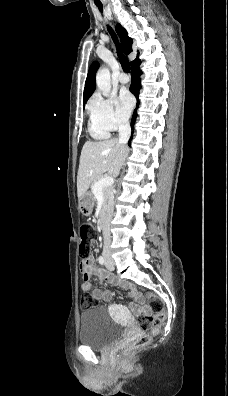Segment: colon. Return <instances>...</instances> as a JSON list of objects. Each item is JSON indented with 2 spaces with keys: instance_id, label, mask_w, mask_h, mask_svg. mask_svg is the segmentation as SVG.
<instances>
[{
  "instance_id": "obj_1",
  "label": "colon",
  "mask_w": 228,
  "mask_h": 396,
  "mask_svg": "<svg viewBox=\"0 0 228 396\" xmlns=\"http://www.w3.org/2000/svg\"><path fill=\"white\" fill-rule=\"evenodd\" d=\"M90 233V226L83 224L80 227V244L79 253L82 258V262H86L90 258V246L88 244V236ZM147 301L153 312L152 315H142L138 320L139 328L142 335L137 337L129 347L130 351H136L145 348L152 340V337L156 335L163 323L164 319V303L154 293H148ZM98 306V300L89 293H83L81 297V307L83 309H91Z\"/></svg>"
}]
</instances>
